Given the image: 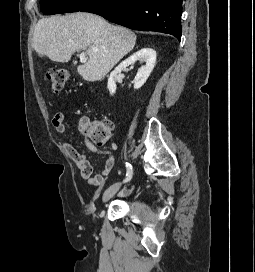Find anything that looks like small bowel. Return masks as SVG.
Instances as JSON below:
<instances>
[{
    "label": "small bowel",
    "mask_w": 255,
    "mask_h": 272,
    "mask_svg": "<svg viewBox=\"0 0 255 272\" xmlns=\"http://www.w3.org/2000/svg\"><path fill=\"white\" fill-rule=\"evenodd\" d=\"M52 125L57 132H65L64 114L62 112H57L54 114L52 119ZM84 125L85 121H81L79 124V129L82 130L84 128ZM84 143L89 151L95 154L103 155L106 158L103 169L100 173L96 175H93L94 167L89 161L88 157L84 153L79 152L72 143V141L65 140L63 142V147L66 153L80 170L82 177L85 178L90 185L102 186L113 167L114 154L111 150H103L98 148L88 139H84Z\"/></svg>",
    "instance_id": "c3829d8e"
}]
</instances>
